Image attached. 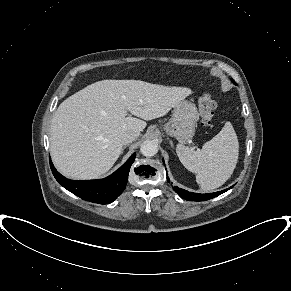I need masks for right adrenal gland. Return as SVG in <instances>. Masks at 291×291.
<instances>
[{
	"label": "right adrenal gland",
	"instance_id": "2a0ac1e0",
	"mask_svg": "<svg viewBox=\"0 0 291 291\" xmlns=\"http://www.w3.org/2000/svg\"><path fill=\"white\" fill-rule=\"evenodd\" d=\"M125 148H126V146H124V147L122 148L121 154H123V151H124Z\"/></svg>",
	"mask_w": 291,
	"mask_h": 291
}]
</instances>
